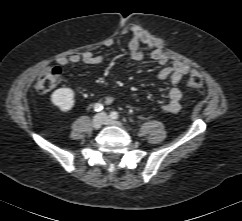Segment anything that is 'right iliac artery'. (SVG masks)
I'll use <instances>...</instances> for the list:
<instances>
[{
	"label": "right iliac artery",
	"mask_w": 242,
	"mask_h": 221,
	"mask_svg": "<svg viewBox=\"0 0 242 221\" xmlns=\"http://www.w3.org/2000/svg\"><path fill=\"white\" fill-rule=\"evenodd\" d=\"M103 109V105L102 104H100V103H96L95 105H94V110L96 111V112H99V111H101Z\"/></svg>",
	"instance_id": "obj_1"
}]
</instances>
